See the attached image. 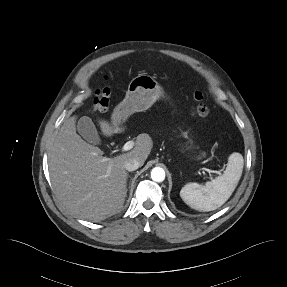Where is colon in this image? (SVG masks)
I'll list each match as a JSON object with an SVG mask.
<instances>
[{
	"instance_id": "5ec220e1",
	"label": "colon",
	"mask_w": 287,
	"mask_h": 287,
	"mask_svg": "<svg viewBox=\"0 0 287 287\" xmlns=\"http://www.w3.org/2000/svg\"><path fill=\"white\" fill-rule=\"evenodd\" d=\"M111 92L107 89H100L96 93L94 107L98 112H105L110 103ZM192 99L195 102L193 107V115L200 119L207 118L209 114V109L207 105L203 102V96L199 91H196L192 95Z\"/></svg>"
}]
</instances>
